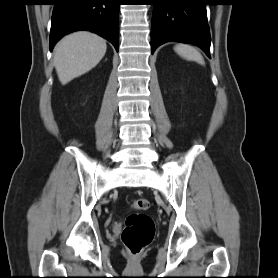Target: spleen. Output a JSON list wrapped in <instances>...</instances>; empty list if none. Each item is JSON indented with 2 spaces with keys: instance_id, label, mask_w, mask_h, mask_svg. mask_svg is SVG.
Listing matches in <instances>:
<instances>
[{
  "instance_id": "spleen-1",
  "label": "spleen",
  "mask_w": 278,
  "mask_h": 278,
  "mask_svg": "<svg viewBox=\"0 0 278 278\" xmlns=\"http://www.w3.org/2000/svg\"><path fill=\"white\" fill-rule=\"evenodd\" d=\"M175 52L180 55L181 57L190 60L195 61L201 65H204V59L202 55L192 46L187 44H177L174 47Z\"/></svg>"
}]
</instances>
